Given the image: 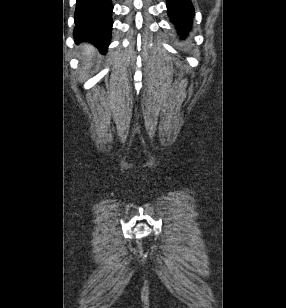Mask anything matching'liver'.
Returning a JSON list of instances; mask_svg holds the SVG:
<instances>
[{"mask_svg": "<svg viewBox=\"0 0 286 308\" xmlns=\"http://www.w3.org/2000/svg\"><path fill=\"white\" fill-rule=\"evenodd\" d=\"M82 48H83L82 59H83L85 65H86L85 66L86 69H88L92 65V58L96 54V50H95V48H93L92 46L87 45V44L83 45Z\"/></svg>", "mask_w": 286, "mask_h": 308, "instance_id": "liver-1", "label": "liver"}]
</instances>
